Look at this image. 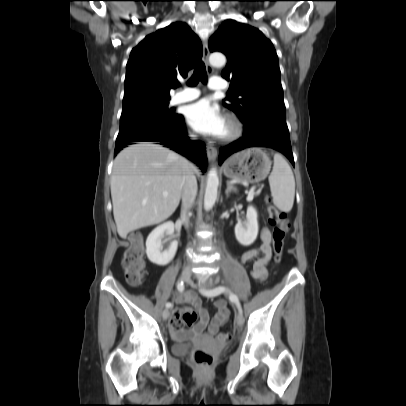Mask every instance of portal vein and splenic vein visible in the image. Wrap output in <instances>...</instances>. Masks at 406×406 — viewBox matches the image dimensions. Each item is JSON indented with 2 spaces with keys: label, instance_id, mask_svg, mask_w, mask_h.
I'll return each mask as SVG.
<instances>
[{
  "label": "portal vein and splenic vein",
  "instance_id": "portal-vein-and-splenic-vein-1",
  "mask_svg": "<svg viewBox=\"0 0 406 406\" xmlns=\"http://www.w3.org/2000/svg\"><path fill=\"white\" fill-rule=\"evenodd\" d=\"M255 189H256L255 186H253V187L250 189L247 200L251 201V200L253 199L254 194H255ZM167 195H168L167 192H163V196H167Z\"/></svg>",
  "mask_w": 406,
  "mask_h": 406
}]
</instances>
